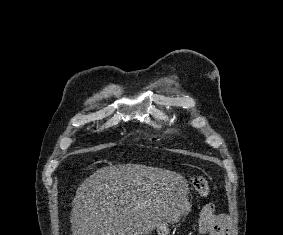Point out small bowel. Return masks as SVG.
I'll list each match as a JSON object with an SVG mask.
<instances>
[{
	"instance_id": "small-bowel-1",
	"label": "small bowel",
	"mask_w": 283,
	"mask_h": 235,
	"mask_svg": "<svg viewBox=\"0 0 283 235\" xmlns=\"http://www.w3.org/2000/svg\"><path fill=\"white\" fill-rule=\"evenodd\" d=\"M227 219L219 215L214 205H205L200 212L201 235H225Z\"/></svg>"
}]
</instances>
